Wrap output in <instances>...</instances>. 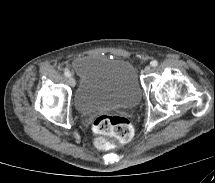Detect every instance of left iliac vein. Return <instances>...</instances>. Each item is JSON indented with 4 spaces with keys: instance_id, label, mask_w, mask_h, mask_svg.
Returning <instances> with one entry per match:
<instances>
[{
    "instance_id": "left-iliac-vein-1",
    "label": "left iliac vein",
    "mask_w": 215,
    "mask_h": 183,
    "mask_svg": "<svg viewBox=\"0 0 215 183\" xmlns=\"http://www.w3.org/2000/svg\"><path fill=\"white\" fill-rule=\"evenodd\" d=\"M151 72V67L150 66H146L145 68H144V73L145 74H148V73H150Z\"/></svg>"
}]
</instances>
